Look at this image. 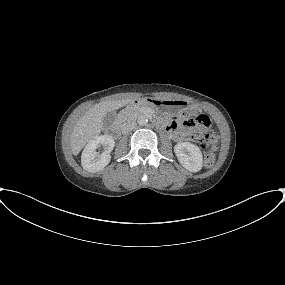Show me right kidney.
I'll use <instances>...</instances> for the list:
<instances>
[{
    "label": "right kidney",
    "mask_w": 285,
    "mask_h": 285,
    "mask_svg": "<svg viewBox=\"0 0 285 285\" xmlns=\"http://www.w3.org/2000/svg\"><path fill=\"white\" fill-rule=\"evenodd\" d=\"M103 147L99 154L96 150ZM114 139L109 135H100L91 140L84 148L81 156V164L86 171L95 173L106 167L111 160V151L114 149Z\"/></svg>",
    "instance_id": "right-kidney-1"
}]
</instances>
